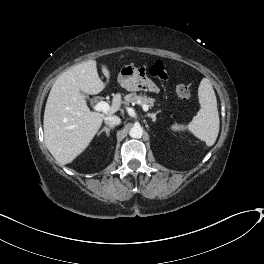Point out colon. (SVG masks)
<instances>
[{"instance_id": "colon-1", "label": "colon", "mask_w": 264, "mask_h": 264, "mask_svg": "<svg viewBox=\"0 0 264 264\" xmlns=\"http://www.w3.org/2000/svg\"><path fill=\"white\" fill-rule=\"evenodd\" d=\"M150 74L158 79L165 80L168 77V70L166 66L156 61L152 64L149 70ZM176 94L183 100H188L191 97V88L187 84H178L176 86Z\"/></svg>"}]
</instances>
